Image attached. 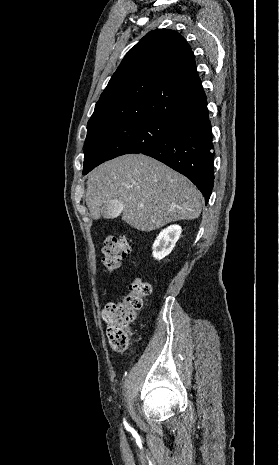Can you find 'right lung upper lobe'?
Instances as JSON below:
<instances>
[{
	"instance_id": "1",
	"label": "right lung upper lobe",
	"mask_w": 279,
	"mask_h": 465,
	"mask_svg": "<svg viewBox=\"0 0 279 465\" xmlns=\"http://www.w3.org/2000/svg\"><path fill=\"white\" fill-rule=\"evenodd\" d=\"M206 103L191 47L176 31L146 34L126 54L87 129L136 118L176 121Z\"/></svg>"
}]
</instances>
